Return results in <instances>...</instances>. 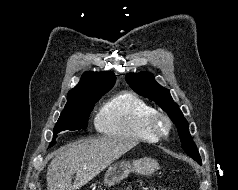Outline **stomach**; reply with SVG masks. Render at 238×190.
Instances as JSON below:
<instances>
[{"label": "stomach", "instance_id": "obj_1", "mask_svg": "<svg viewBox=\"0 0 238 190\" xmlns=\"http://www.w3.org/2000/svg\"><path fill=\"white\" fill-rule=\"evenodd\" d=\"M158 169V162L151 158L135 160L133 164L121 161L111 165L107 169L104 175V184L107 186L116 185L123 179L127 178L132 171L141 175H151Z\"/></svg>", "mask_w": 238, "mask_h": 190}]
</instances>
